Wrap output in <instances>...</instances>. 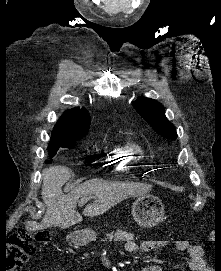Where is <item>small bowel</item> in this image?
<instances>
[{
  "instance_id": "c3829d8e",
  "label": "small bowel",
  "mask_w": 221,
  "mask_h": 271,
  "mask_svg": "<svg viewBox=\"0 0 221 271\" xmlns=\"http://www.w3.org/2000/svg\"><path fill=\"white\" fill-rule=\"evenodd\" d=\"M171 243L165 240H145L137 242L129 239L125 244V249L129 253L137 252H153L164 247L169 246ZM174 246L179 252H186L189 256V268L191 271H210L206 266L203 259V248L198 244H192L187 240H178L174 242ZM162 267L157 264L147 265L142 271H162Z\"/></svg>"
}]
</instances>
